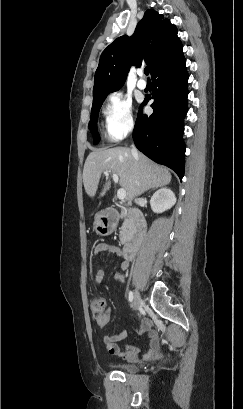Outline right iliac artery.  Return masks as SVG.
Instances as JSON below:
<instances>
[{"label":"right iliac artery","mask_w":243,"mask_h":409,"mask_svg":"<svg viewBox=\"0 0 243 409\" xmlns=\"http://www.w3.org/2000/svg\"><path fill=\"white\" fill-rule=\"evenodd\" d=\"M133 299H134L133 292L130 291V292H129V301L132 302Z\"/></svg>","instance_id":"right-iliac-artery-1"}]
</instances>
